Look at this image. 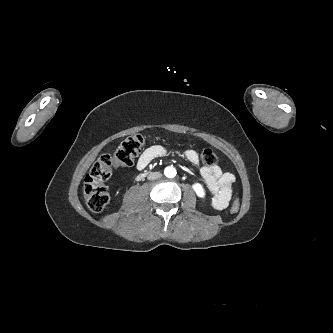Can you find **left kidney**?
<instances>
[{
    "label": "left kidney",
    "mask_w": 333,
    "mask_h": 333,
    "mask_svg": "<svg viewBox=\"0 0 333 333\" xmlns=\"http://www.w3.org/2000/svg\"><path fill=\"white\" fill-rule=\"evenodd\" d=\"M192 187L198 197L201 198L205 197V190L203 189V186L200 183H194Z\"/></svg>",
    "instance_id": "obj_1"
}]
</instances>
